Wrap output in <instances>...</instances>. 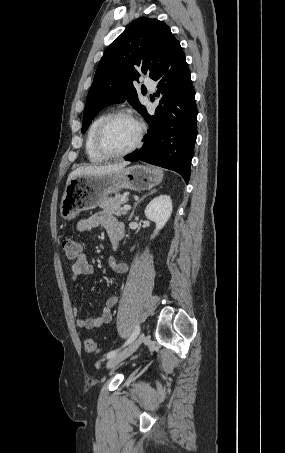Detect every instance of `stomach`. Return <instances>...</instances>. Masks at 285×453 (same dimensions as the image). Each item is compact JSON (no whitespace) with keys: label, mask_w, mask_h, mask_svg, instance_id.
<instances>
[{"label":"stomach","mask_w":285,"mask_h":453,"mask_svg":"<svg viewBox=\"0 0 285 453\" xmlns=\"http://www.w3.org/2000/svg\"><path fill=\"white\" fill-rule=\"evenodd\" d=\"M163 179V171L143 165L124 167L111 173L77 176L66 185L60 204L63 220H72L82 211L96 208L110 194L123 189L149 190Z\"/></svg>","instance_id":"stomach-1"}]
</instances>
